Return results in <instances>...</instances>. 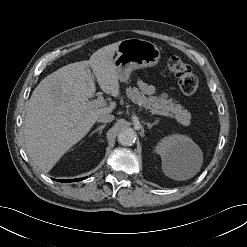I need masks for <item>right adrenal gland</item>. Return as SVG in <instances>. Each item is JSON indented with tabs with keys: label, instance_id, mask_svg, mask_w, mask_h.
<instances>
[{
	"label": "right adrenal gland",
	"instance_id": "right-adrenal-gland-1",
	"mask_svg": "<svg viewBox=\"0 0 247 247\" xmlns=\"http://www.w3.org/2000/svg\"><path fill=\"white\" fill-rule=\"evenodd\" d=\"M106 127V124H103L101 126H98L95 130H93L91 133H90V136L93 135L94 133L96 132H99V135L102 134V130Z\"/></svg>",
	"mask_w": 247,
	"mask_h": 247
}]
</instances>
